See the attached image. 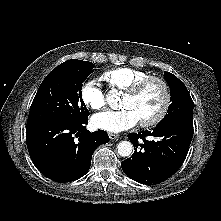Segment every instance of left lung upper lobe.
Instances as JSON below:
<instances>
[{
	"label": "left lung upper lobe",
	"instance_id": "5c2ea615",
	"mask_svg": "<svg viewBox=\"0 0 221 221\" xmlns=\"http://www.w3.org/2000/svg\"><path fill=\"white\" fill-rule=\"evenodd\" d=\"M164 78L170 87L171 105L157 126L176 121L193 123V101L186 86L169 72H164Z\"/></svg>",
	"mask_w": 221,
	"mask_h": 221
}]
</instances>
